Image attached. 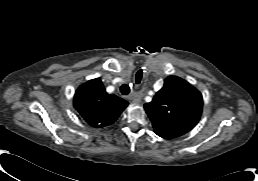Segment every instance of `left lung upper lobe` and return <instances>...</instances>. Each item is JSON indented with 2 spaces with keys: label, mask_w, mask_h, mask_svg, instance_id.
<instances>
[{
  "label": "left lung upper lobe",
  "mask_w": 258,
  "mask_h": 181,
  "mask_svg": "<svg viewBox=\"0 0 258 181\" xmlns=\"http://www.w3.org/2000/svg\"><path fill=\"white\" fill-rule=\"evenodd\" d=\"M202 107L201 93L176 76H168L163 88L150 103L144 105L154 132L167 139L190 131L199 121Z\"/></svg>",
  "instance_id": "obj_1"
}]
</instances>
